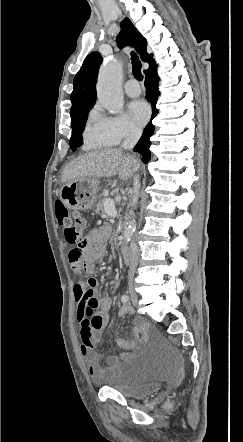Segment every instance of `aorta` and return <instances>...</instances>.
Masks as SVG:
<instances>
[{
	"label": "aorta",
	"mask_w": 243,
	"mask_h": 442,
	"mask_svg": "<svg viewBox=\"0 0 243 442\" xmlns=\"http://www.w3.org/2000/svg\"><path fill=\"white\" fill-rule=\"evenodd\" d=\"M122 68L117 60H111L101 67L97 81V95L105 109L112 114L123 110V92L121 87ZM136 230V221L130 220L124 229V238L130 240Z\"/></svg>",
	"instance_id": "aorta-1"
}]
</instances>
